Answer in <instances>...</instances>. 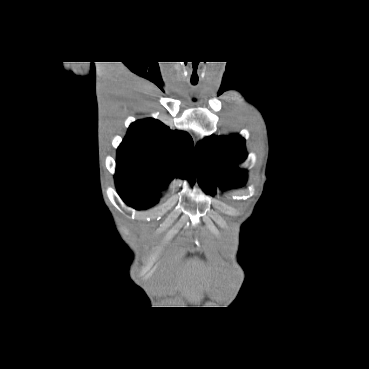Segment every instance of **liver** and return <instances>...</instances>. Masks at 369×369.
<instances>
[{"label": "liver", "mask_w": 369, "mask_h": 369, "mask_svg": "<svg viewBox=\"0 0 369 369\" xmlns=\"http://www.w3.org/2000/svg\"><path fill=\"white\" fill-rule=\"evenodd\" d=\"M177 281V280H176ZM178 284H180L179 280L177 281Z\"/></svg>", "instance_id": "obj_1"}]
</instances>
